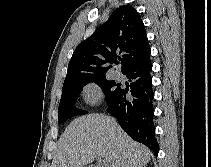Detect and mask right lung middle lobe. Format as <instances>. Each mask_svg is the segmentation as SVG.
Returning <instances> with one entry per match:
<instances>
[{"label":"right lung middle lobe","mask_w":211,"mask_h":167,"mask_svg":"<svg viewBox=\"0 0 211 167\" xmlns=\"http://www.w3.org/2000/svg\"><path fill=\"white\" fill-rule=\"evenodd\" d=\"M90 82L97 83L103 89L107 104L121 89L115 81H109L105 76L85 78L71 84L63 85L62 96L58 108V123H63L73 116L87 113L86 111L76 109L74 104L83 87Z\"/></svg>","instance_id":"obj_1"}]
</instances>
